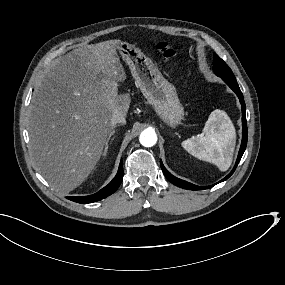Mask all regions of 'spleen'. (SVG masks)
Returning a JSON list of instances; mask_svg holds the SVG:
<instances>
[{
	"mask_svg": "<svg viewBox=\"0 0 285 285\" xmlns=\"http://www.w3.org/2000/svg\"><path fill=\"white\" fill-rule=\"evenodd\" d=\"M202 132L203 135L182 141V148L199 160L215 165L220 171L227 170L235 140L232 126L219 110H215L209 114Z\"/></svg>",
	"mask_w": 285,
	"mask_h": 285,
	"instance_id": "spleen-1",
	"label": "spleen"
}]
</instances>
